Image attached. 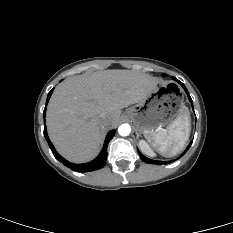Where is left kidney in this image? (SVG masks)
Returning a JSON list of instances; mask_svg holds the SVG:
<instances>
[{
  "mask_svg": "<svg viewBox=\"0 0 233 233\" xmlns=\"http://www.w3.org/2000/svg\"><path fill=\"white\" fill-rule=\"evenodd\" d=\"M139 146L141 148V150L149 155V156H155L154 152L152 151V149L150 148V146L146 143V141L144 140H140L139 141Z\"/></svg>",
  "mask_w": 233,
  "mask_h": 233,
  "instance_id": "5707ae66",
  "label": "left kidney"
}]
</instances>
